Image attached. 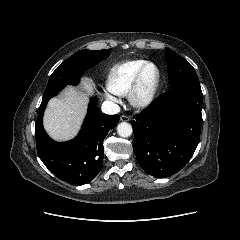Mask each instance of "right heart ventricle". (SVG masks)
I'll return each instance as SVG.
<instances>
[{"mask_svg": "<svg viewBox=\"0 0 240 240\" xmlns=\"http://www.w3.org/2000/svg\"><path fill=\"white\" fill-rule=\"evenodd\" d=\"M145 60H129L113 66L108 74V89L117 95H125Z\"/></svg>", "mask_w": 240, "mask_h": 240, "instance_id": "e07e8e85", "label": "right heart ventricle"}]
</instances>
